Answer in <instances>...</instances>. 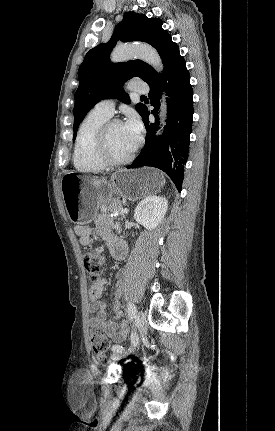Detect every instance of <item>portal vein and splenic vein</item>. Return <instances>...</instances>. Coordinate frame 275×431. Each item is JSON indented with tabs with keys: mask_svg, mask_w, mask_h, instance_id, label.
Listing matches in <instances>:
<instances>
[{
	"mask_svg": "<svg viewBox=\"0 0 275 431\" xmlns=\"http://www.w3.org/2000/svg\"><path fill=\"white\" fill-rule=\"evenodd\" d=\"M128 212H129V210L127 208L121 209V213H123V214H127Z\"/></svg>",
	"mask_w": 275,
	"mask_h": 431,
	"instance_id": "portal-vein-and-splenic-vein-1",
	"label": "portal vein and splenic vein"
}]
</instances>
